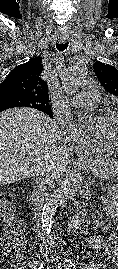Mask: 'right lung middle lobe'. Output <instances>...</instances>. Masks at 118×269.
Segmentation results:
<instances>
[{"mask_svg":"<svg viewBox=\"0 0 118 269\" xmlns=\"http://www.w3.org/2000/svg\"><path fill=\"white\" fill-rule=\"evenodd\" d=\"M12 107H31L43 111L44 113L51 111L48 103L39 102L20 94L4 95V100L0 101V112Z\"/></svg>","mask_w":118,"mask_h":269,"instance_id":"1","label":"right lung middle lobe"}]
</instances>
